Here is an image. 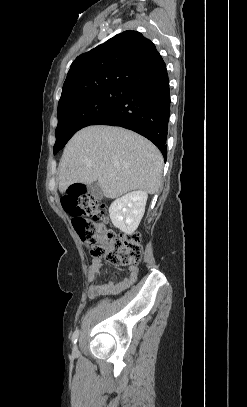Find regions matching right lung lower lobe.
<instances>
[{"label":"right lung lower lobe","mask_w":247,"mask_h":407,"mask_svg":"<svg viewBox=\"0 0 247 407\" xmlns=\"http://www.w3.org/2000/svg\"><path fill=\"white\" fill-rule=\"evenodd\" d=\"M170 89L166 66L151 78L137 83L109 113L93 125L121 126L153 142L167 159Z\"/></svg>","instance_id":"98d812e1"}]
</instances>
